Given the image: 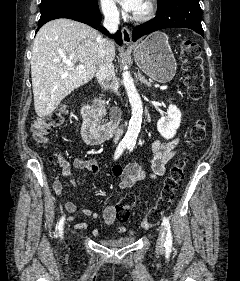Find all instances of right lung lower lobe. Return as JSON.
Returning a JSON list of instances; mask_svg holds the SVG:
<instances>
[{"label": "right lung lower lobe", "mask_w": 240, "mask_h": 281, "mask_svg": "<svg viewBox=\"0 0 240 281\" xmlns=\"http://www.w3.org/2000/svg\"><path fill=\"white\" fill-rule=\"evenodd\" d=\"M58 18L73 19L97 29L101 23L102 16L98 6L95 8H90L69 3L55 4L41 10L38 29L48 21ZM100 30L104 34L111 37L105 28L101 27ZM114 39L116 40L117 44H122V35L120 31L114 35Z\"/></svg>", "instance_id": "right-lung-lower-lobe-1"}]
</instances>
